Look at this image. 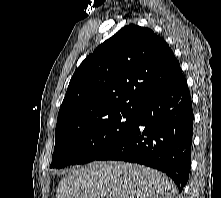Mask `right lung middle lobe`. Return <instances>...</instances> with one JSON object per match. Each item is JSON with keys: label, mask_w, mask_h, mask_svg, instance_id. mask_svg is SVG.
<instances>
[{"label": "right lung middle lobe", "mask_w": 221, "mask_h": 198, "mask_svg": "<svg viewBox=\"0 0 221 198\" xmlns=\"http://www.w3.org/2000/svg\"><path fill=\"white\" fill-rule=\"evenodd\" d=\"M136 118L137 114L117 113L55 137L50 168L94 161L131 131Z\"/></svg>", "instance_id": "dd1d6c3e"}]
</instances>
